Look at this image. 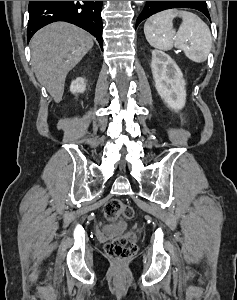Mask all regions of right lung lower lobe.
I'll use <instances>...</instances> for the list:
<instances>
[{
    "instance_id": "1",
    "label": "right lung lower lobe",
    "mask_w": 237,
    "mask_h": 300,
    "mask_svg": "<svg viewBox=\"0 0 237 300\" xmlns=\"http://www.w3.org/2000/svg\"><path fill=\"white\" fill-rule=\"evenodd\" d=\"M101 9L102 1H30L27 39L47 24L66 21L87 30L103 48Z\"/></svg>"
}]
</instances>
